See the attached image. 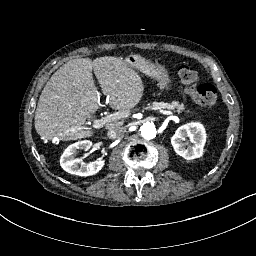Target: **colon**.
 I'll return each instance as SVG.
<instances>
[{
    "label": "colon",
    "instance_id": "1",
    "mask_svg": "<svg viewBox=\"0 0 256 256\" xmlns=\"http://www.w3.org/2000/svg\"><path fill=\"white\" fill-rule=\"evenodd\" d=\"M178 73L183 89L189 93L201 107H212L216 103L217 91L215 87L211 84H201L197 86L196 83L199 74L193 67L181 65Z\"/></svg>",
    "mask_w": 256,
    "mask_h": 256
}]
</instances>
